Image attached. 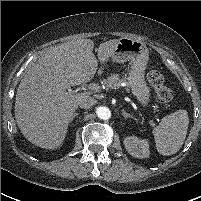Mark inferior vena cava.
<instances>
[{"label": "inferior vena cava", "instance_id": "inferior-vena-cava-1", "mask_svg": "<svg viewBox=\"0 0 201 201\" xmlns=\"http://www.w3.org/2000/svg\"><path fill=\"white\" fill-rule=\"evenodd\" d=\"M95 103H96V100L90 96H82L78 101V105L80 106V108H83V109H89L93 105H95Z\"/></svg>", "mask_w": 201, "mask_h": 201}]
</instances>
